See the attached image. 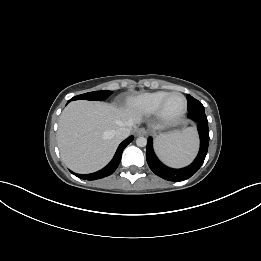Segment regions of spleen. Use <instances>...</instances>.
Segmentation results:
<instances>
[{"label":"spleen","mask_w":261,"mask_h":261,"mask_svg":"<svg viewBox=\"0 0 261 261\" xmlns=\"http://www.w3.org/2000/svg\"><path fill=\"white\" fill-rule=\"evenodd\" d=\"M197 147L198 140L193 127H188L181 132L158 136L156 140V151L159 157L172 167L189 163Z\"/></svg>","instance_id":"1"}]
</instances>
